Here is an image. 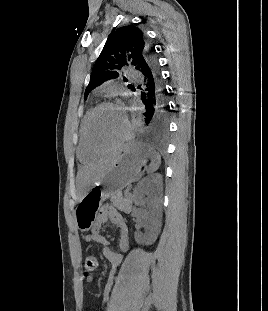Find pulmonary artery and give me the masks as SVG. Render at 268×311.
<instances>
[{
    "instance_id": "pulmonary-artery-1",
    "label": "pulmonary artery",
    "mask_w": 268,
    "mask_h": 311,
    "mask_svg": "<svg viewBox=\"0 0 268 311\" xmlns=\"http://www.w3.org/2000/svg\"><path fill=\"white\" fill-rule=\"evenodd\" d=\"M132 75H133L132 72H127V76H128V77H130V76H132Z\"/></svg>"
}]
</instances>
